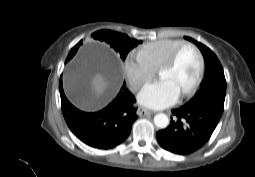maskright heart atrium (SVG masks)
Returning <instances> with one entry per match:
<instances>
[{"label": "right heart atrium", "mask_w": 255, "mask_h": 177, "mask_svg": "<svg viewBox=\"0 0 255 177\" xmlns=\"http://www.w3.org/2000/svg\"><path fill=\"white\" fill-rule=\"evenodd\" d=\"M124 72L132 89L138 90L155 75L156 69L140 52H131L125 59Z\"/></svg>", "instance_id": "obj_1"}]
</instances>
